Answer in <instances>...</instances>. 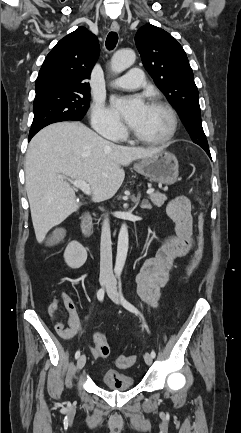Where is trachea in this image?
Listing matches in <instances>:
<instances>
[{
  "label": "trachea",
  "mask_w": 241,
  "mask_h": 433,
  "mask_svg": "<svg viewBox=\"0 0 241 433\" xmlns=\"http://www.w3.org/2000/svg\"><path fill=\"white\" fill-rule=\"evenodd\" d=\"M118 42V34L114 31L110 32L106 38V48L112 50Z\"/></svg>",
  "instance_id": "1"
}]
</instances>
